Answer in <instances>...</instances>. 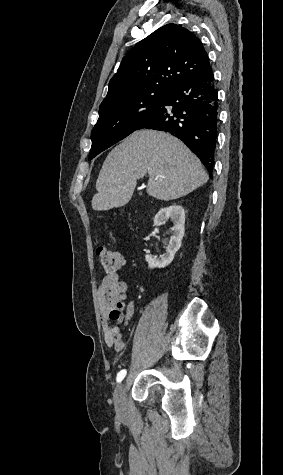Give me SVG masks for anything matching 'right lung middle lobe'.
Instances as JSON below:
<instances>
[{"label": "right lung middle lobe", "instance_id": "right-lung-middle-lobe-1", "mask_svg": "<svg viewBox=\"0 0 283 475\" xmlns=\"http://www.w3.org/2000/svg\"><path fill=\"white\" fill-rule=\"evenodd\" d=\"M167 92L138 95L127 100L100 106L99 119L91 133L88 159L106 150L138 129L157 108Z\"/></svg>", "mask_w": 283, "mask_h": 475}]
</instances>
